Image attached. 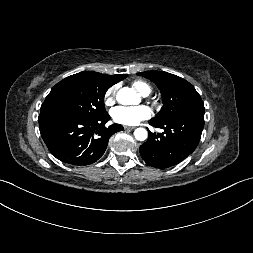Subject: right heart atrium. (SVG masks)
I'll list each match as a JSON object with an SVG mask.
<instances>
[{
	"instance_id": "1",
	"label": "right heart atrium",
	"mask_w": 253,
	"mask_h": 253,
	"mask_svg": "<svg viewBox=\"0 0 253 253\" xmlns=\"http://www.w3.org/2000/svg\"><path fill=\"white\" fill-rule=\"evenodd\" d=\"M118 86L112 85L110 86L104 93V103L107 106H112L116 99Z\"/></svg>"
}]
</instances>
